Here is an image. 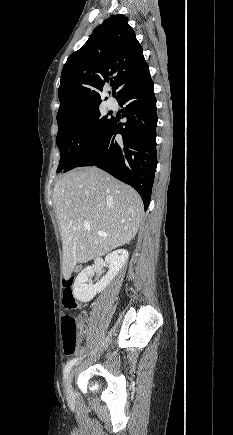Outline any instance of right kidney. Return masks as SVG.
I'll return each instance as SVG.
<instances>
[{"label": "right kidney", "instance_id": "ca27d5eb", "mask_svg": "<svg viewBox=\"0 0 233 435\" xmlns=\"http://www.w3.org/2000/svg\"><path fill=\"white\" fill-rule=\"evenodd\" d=\"M129 257V253L125 249L116 250L105 257V264L109 270L107 274L95 285L91 282V277L94 274V269L91 266L86 267L76 277L73 293L74 296L81 302H88L92 300L97 293L103 291L114 277L122 269Z\"/></svg>", "mask_w": 233, "mask_h": 435}]
</instances>
